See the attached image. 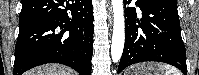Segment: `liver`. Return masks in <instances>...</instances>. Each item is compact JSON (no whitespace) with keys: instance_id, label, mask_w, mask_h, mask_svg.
<instances>
[{"instance_id":"6515ba94","label":"liver","mask_w":199,"mask_h":75,"mask_svg":"<svg viewBox=\"0 0 199 75\" xmlns=\"http://www.w3.org/2000/svg\"><path fill=\"white\" fill-rule=\"evenodd\" d=\"M25 75H77V73L63 65L46 64L26 72Z\"/></svg>"}]
</instances>
